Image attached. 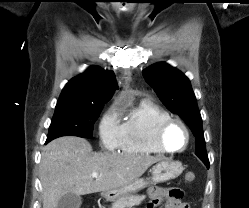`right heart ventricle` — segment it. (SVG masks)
<instances>
[{
    "label": "right heart ventricle",
    "instance_id": "obj_1",
    "mask_svg": "<svg viewBox=\"0 0 249 208\" xmlns=\"http://www.w3.org/2000/svg\"><path fill=\"white\" fill-rule=\"evenodd\" d=\"M168 118L171 114L166 109L148 100L139 101L121 124V151L133 155L163 153L154 136L158 125Z\"/></svg>",
    "mask_w": 249,
    "mask_h": 208
}]
</instances>
